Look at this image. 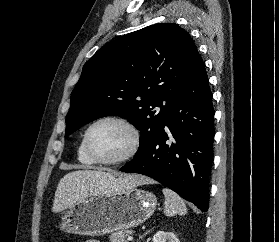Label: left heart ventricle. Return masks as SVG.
I'll return each instance as SVG.
<instances>
[{
  "label": "left heart ventricle",
  "mask_w": 279,
  "mask_h": 242,
  "mask_svg": "<svg viewBox=\"0 0 279 242\" xmlns=\"http://www.w3.org/2000/svg\"><path fill=\"white\" fill-rule=\"evenodd\" d=\"M131 136L122 125L104 122L97 125L90 134L92 152L101 159H114L129 149Z\"/></svg>",
  "instance_id": "1"
}]
</instances>
